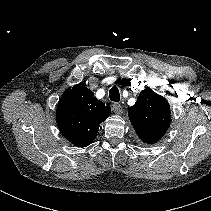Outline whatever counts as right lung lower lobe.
Returning <instances> with one entry per match:
<instances>
[{"label":"right lung lower lobe","instance_id":"1","mask_svg":"<svg viewBox=\"0 0 211 211\" xmlns=\"http://www.w3.org/2000/svg\"><path fill=\"white\" fill-rule=\"evenodd\" d=\"M67 109L66 104L64 102H59L57 106V123L60 126H65L67 122L69 121V117H67Z\"/></svg>","mask_w":211,"mask_h":211}]
</instances>
